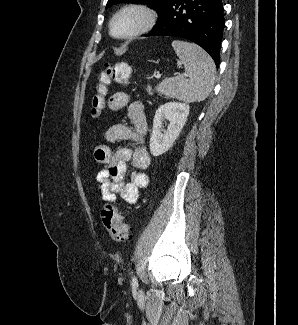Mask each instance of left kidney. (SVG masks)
I'll return each mask as SVG.
<instances>
[{"mask_svg":"<svg viewBox=\"0 0 298 325\" xmlns=\"http://www.w3.org/2000/svg\"><path fill=\"white\" fill-rule=\"evenodd\" d=\"M190 106L187 102H164L158 106L154 118L152 132L150 136V152L153 156H159L170 146L179 136L189 114ZM163 120H169L167 130H163Z\"/></svg>","mask_w":298,"mask_h":325,"instance_id":"obj_1","label":"left kidney"}]
</instances>
